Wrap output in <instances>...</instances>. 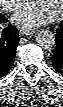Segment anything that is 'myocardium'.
<instances>
[{
    "mask_svg": "<svg viewBox=\"0 0 63 107\" xmlns=\"http://www.w3.org/2000/svg\"><path fill=\"white\" fill-rule=\"evenodd\" d=\"M63 11V1H60V7L58 9V11L53 15L54 18H58L60 17V15L62 14Z\"/></svg>",
    "mask_w": 63,
    "mask_h": 107,
    "instance_id": "myocardium-1",
    "label": "myocardium"
}]
</instances>
